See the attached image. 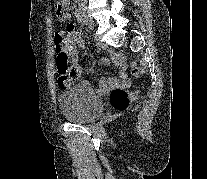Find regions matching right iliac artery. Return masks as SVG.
<instances>
[{"label": "right iliac artery", "instance_id": "1", "mask_svg": "<svg viewBox=\"0 0 207 179\" xmlns=\"http://www.w3.org/2000/svg\"><path fill=\"white\" fill-rule=\"evenodd\" d=\"M75 16H76L77 21L79 23H81L82 25H85L86 20H85V16H84L83 12L81 11V9H76Z\"/></svg>", "mask_w": 207, "mask_h": 179}]
</instances>
